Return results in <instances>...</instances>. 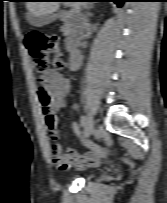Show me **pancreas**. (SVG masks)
<instances>
[{"label": "pancreas", "mask_w": 167, "mask_h": 203, "mask_svg": "<svg viewBox=\"0 0 167 203\" xmlns=\"http://www.w3.org/2000/svg\"><path fill=\"white\" fill-rule=\"evenodd\" d=\"M63 29H64V32H67V31H68L67 26H65Z\"/></svg>", "instance_id": "obj_1"}]
</instances>
